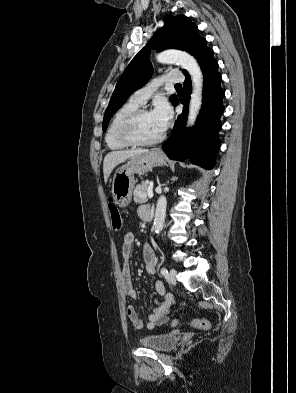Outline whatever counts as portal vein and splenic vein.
<instances>
[{"instance_id":"1","label":"portal vein and splenic vein","mask_w":296,"mask_h":393,"mask_svg":"<svg viewBox=\"0 0 296 393\" xmlns=\"http://www.w3.org/2000/svg\"><path fill=\"white\" fill-rule=\"evenodd\" d=\"M153 182H149V187H148V197L152 198L153 197Z\"/></svg>"}]
</instances>
